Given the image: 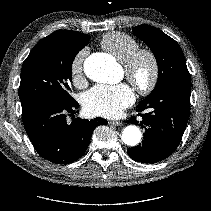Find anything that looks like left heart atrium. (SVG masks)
<instances>
[{"instance_id":"1","label":"left heart atrium","mask_w":211,"mask_h":211,"mask_svg":"<svg viewBox=\"0 0 211 211\" xmlns=\"http://www.w3.org/2000/svg\"><path fill=\"white\" fill-rule=\"evenodd\" d=\"M135 100L132 89L125 83L97 85L87 91L82 104L92 116L116 117Z\"/></svg>"}]
</instances>
